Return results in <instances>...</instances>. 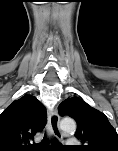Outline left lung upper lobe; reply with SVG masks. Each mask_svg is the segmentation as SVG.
I'll return each instance as SVG.
<instances>
[{
    "label": "left lung upper lobe",
    "instance_id": "obj_1",
    "mask_svg": "<svg viewBox=\"0 0 118 151\" xmlns=\"http://www.w3.org/2000/svg\"><path fill=\"white\" fill-rule=\"evenodd\" d=\"M61 116H70L77 122L75 136L85 145L81 151H118V135L100 111L78 97L64 100L58 107Z\"/></svg>",
    "mask_w": 118,
    "mask_h": 151
}]
</instances>
